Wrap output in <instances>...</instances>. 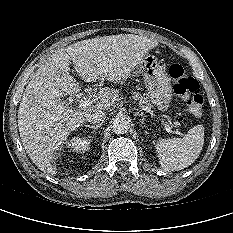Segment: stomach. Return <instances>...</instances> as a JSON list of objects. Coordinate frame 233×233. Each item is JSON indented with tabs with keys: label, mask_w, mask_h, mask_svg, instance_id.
Here are the masks:
<instances>
[{
	"label": "stomach",
	"mask_w": 233,
	"mask_h": 233,
	"mask_svg": "<svg viewBox=\"0 0 233 233\" xmlns=\"http://www.w3.org/2000/svg\"><path fill=\"white\" fill-rule=\"evenodd\" d=\"M131 73L133 76H143L150 101L159 110H166L172 98V86L165 68L160 65L158 59L146 54Z\"/></svg>",
	"instance_id": "1"
}]
</instances>
